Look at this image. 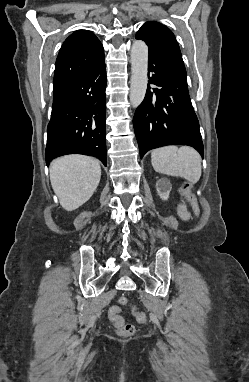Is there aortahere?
<instances>
[{"instance_id": "1", "label": "aorta", "mask_w": 249, "mask_h": 382, "mask_svg": "<svg viewBox=\"0 0 249 382\" xmlns=\"http://www.w3.org/2000/svg\"><path fill=\"white\" fill-rule=\"evenodd\" d=\"M130 103L139 106L147 90L148 47L142 40H135L131 48Z\"/></svg>"}]
</instances>
